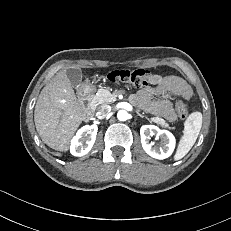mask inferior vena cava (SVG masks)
I'll return each instance as SVG.
<instances>
[{"label": "inferior vena cava", "mask_w": 231, "mask_h": 231, "mask_svg": "<svg viewBox=\"0 0 231 231\" xmlns=\"http://www.w3.org/2000/svg\"><path fill=\"white\" fill-rule=\"evenodd\" d=\"M111 111V107L109 105H101L97 108V117L100 118V119H103L105 118Z\"/></svg>", "instance_id": "inferior-vena-cava-1"}]
</instances>
